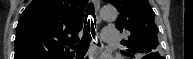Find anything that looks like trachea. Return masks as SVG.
Masks as SVG:
<instances>
[{"instance_id":"3493384b","label":"trachea","mask_w":193,"mask_h":59,"mask_svg":"<svg viewBox=\"0 0 193 59\" xmlns=\"http://www.w3.org/2000/svg\"><path fill=\"white\" fill-rule=\"evenodd\" d=\"M88 15L93 17L94 22H93L92 18L88 19V21H87ZM94 25L96 27V17H95V13H94V5L92 3H90L86 9V21H85V25H84L83 37L77 45L71 46V49L74 50L77 55H85L86 52L88 51V48H89V45H90L92 38L95 39Z\"/></svg>"}]
</instances>
